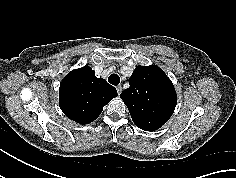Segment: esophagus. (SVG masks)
Listing matches in <instances>:
<instances>
[{"label":"esophagus","mask_w":236,"mask_h":178,"mask_svg":"<svg viewBox=\"0 0 236 178\" xmlns=\"http://www.w3.org/2000/svg\"><path fill=\"white\" fill-rule=\"evenodd\" d=\"M116 89H117L118 95H120L122 92V87L119 85L116 87Z\"/></svg>","instance_id":"esophagus-1"}]
</instances>
